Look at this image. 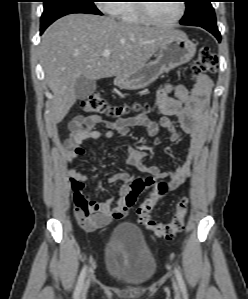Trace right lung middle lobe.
<instances>
[{
  "label": "right lung middle lobe",
  "mask_w": 248,
  "mask_h": 299,
  "mask_svg": "<svg viewBox=\"0 0 248 299\" xmlns=\"http://www.w3.org/2000/svg\"><path fill=\"white\" fill-rule=\"evenodd\" d=\"M94 0H44L41 27L47 28L56 19L71 13H88L102 15Z\"/></svg>",
  "instance_id": "right-lung-middle-lobe-1"
}]
</instances>
